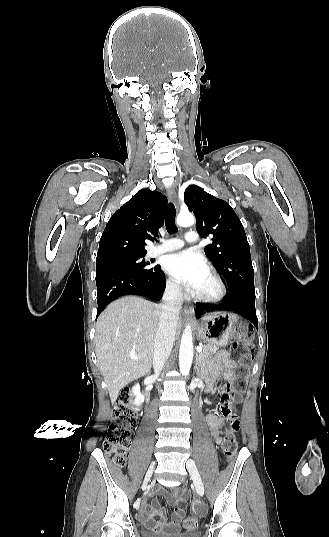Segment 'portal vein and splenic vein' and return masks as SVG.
<instances>
[{
	"label": "portal vein and splenic vein",
	"instance_id": "1",
	"mask_svg": "<svg viewBox=\"0 0 329 537\" xmlns=\"http://www.w3.org/2000/svg\"><path fill=\"white\" fill-rule=\"evenodd\" d=\"M197 352H198V353H201V352H202V347H198V348H197ZM129 356H130V358H131L132 360H139V357H137V356H136L135 354H133V353H131Z\"/></svg>",
	"mask_w": 329,
	"mask_h": 537
}]
</instances>
